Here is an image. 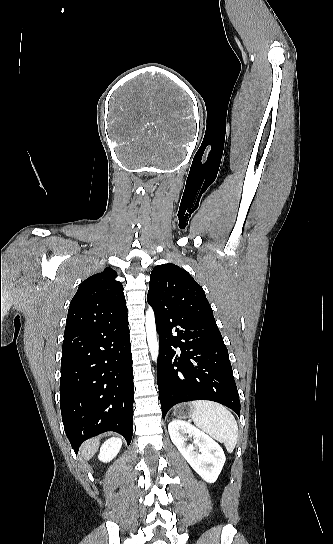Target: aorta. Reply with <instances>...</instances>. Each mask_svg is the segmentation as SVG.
Returning a JSON list of instances; mask_svg holds the SVG:
<instances>
[{"instance_id":"1","label":"aorta","mask_w":333,"mask_h":544,"mask_svg":"<svg viewBox=\"0 0 333 544\" xmlns=\"http://www.w3.org/2000/svg\"><path fill=\"white\" fill-rule=\"evenodd\" d=\"M145 328L147 334V343L153 361H157L159 354V342L157 339L156 323L153 310L148 308L146 311Z\"/></svg>"}]
</instances>
